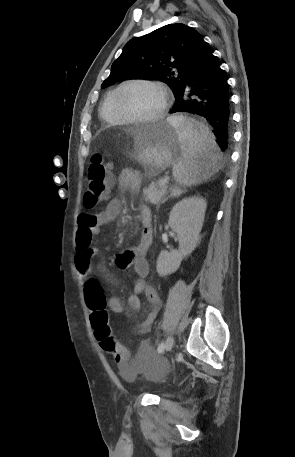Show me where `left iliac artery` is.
<instances>
[{
    "label": "left iliac artery",
    "mask_w": 295,
    "mask_h": 457,
    "mask_svg": "<svg viewBox=\"0 0 295 457\" xmlns=\"http://www.w3.org/2000/svg\"><path fill=\"white\" fill-rule=\"evenodd\" d=\"M164 347H165L164 342H161V343L159 344L158 348H157V351H158L159 353L163 352Z\"/></svg>",
    "instance_id": "left-iliac-artery-1"
}]
</instances>
